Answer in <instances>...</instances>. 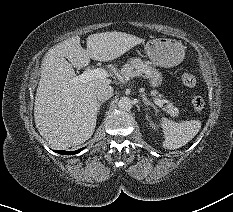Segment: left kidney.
Returning <instances> with one entry per match:
<instances>
[{"label": "left kidney", "mask_w": 233, "mask_h": 212, "mask_svg": "<svg viewBox=\"0 0 233 212\" xmlns=\"http://www.w3.org/2000/svg\"><path fill=\"white\" fill-rule=\"evenodd\" d=\"M149 125H150V127H152V129H154V130H157V129H158L157 125H156L154 122H152V121H149Z\"/></svg>", "instance_id": "left-kidney-1"}]
</instances>
